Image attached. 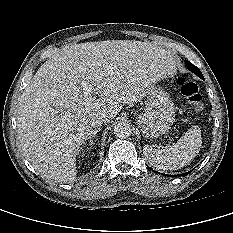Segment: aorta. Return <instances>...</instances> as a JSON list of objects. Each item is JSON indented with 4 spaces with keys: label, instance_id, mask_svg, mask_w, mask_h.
Returning a JSON list of instances; mask_svg holds the SVG:
<instances>
[{
    "label": "aorta",
    "instance_id": "obj_1",
    "mask_svg": "<svg viewBox=\"0 0 233 233\" xmlns=\"http://www.w3.org/2000/svg\"><path fill=\"white\" fill-rule=\"evenodd\" d=\"M131 133V125L126 121H119L114 125V134L119 138H127L131 135Z\"/></svg>",
    "mask_w": 233,
    "mask_h": 233
}]
</instances>
